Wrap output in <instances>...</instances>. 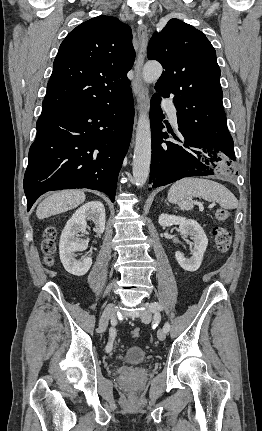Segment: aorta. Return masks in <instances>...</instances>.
<instances>
[{
	"mask_svg": "<svg viewBox=\"0 0 262 431\" xmlns=\"http://www.w3.org/2000/svg\"><path fill=\"white\" fill-rule=\"evenodd\" d=\"M163 68L158 62H148L144 65L142 75L144 82L149 84L156 82L161 76ZM151 163V129L149 117L142 113L139 116L135 148L133 157V177L138 187H142L149 176Z\"/></svg>",
	"mask_w": 262,
	"mask_h": 431,
	"instance_id": "aorta-1",
	"label": "aorta"
}]
</instances>
